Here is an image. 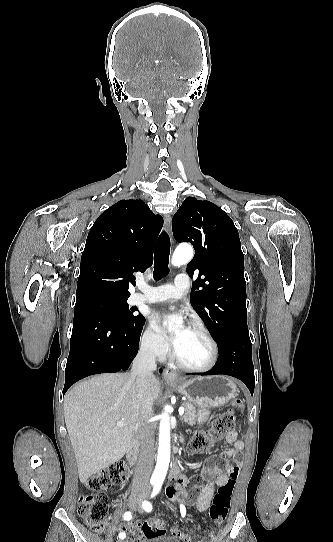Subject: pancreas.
Masks as SVG:
<instances>
[{"instance_id":"cf45deb5","label":"pancreas","mask_w":333,"mask_h":542,"mask_svg":"<svg viewBox=\"0 0 333 542\" xmlns=\"http://www.w3.org/2000/svg\"><path fill=\"white\" fill-rule=\"evenodd\" d=\"M182 408H185V414L181 416V420H184V422H187L189 426H194L196 424V408H194L193 404L191 402H183L181 404Z\"/></svg>"}]
</instances>
